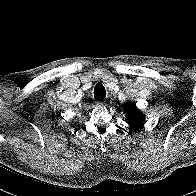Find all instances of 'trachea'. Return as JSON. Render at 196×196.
Returning a JSON list of instances; mask_svg holds the SVG:
<instances>
[{"mask_svg": "<svg viewBox=\"0 0 196 196\" xmlns=\"http://www.w3.org/2000/svg\"><path fill=\"white\" fill-rule=\"evenodd\" d=\"M106 96V90L101 83H97L94 89V97L96 100H103Z\"/></svg>", "mask_w": 196, "mask_h": 196, "instance_id": "3493384b", "label": "trachea"}]
</instances>
